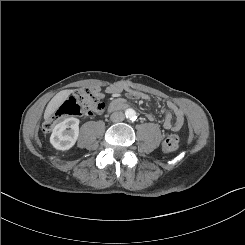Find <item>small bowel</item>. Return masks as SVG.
Listing matches in <instances>:
<instances>
[{
	"label": "small bowel",
	"instance_id": "c3829d8e",
	"mask_svg": "<svg viewBox=\"0 0 245 245\" xmlns=\"http://www.w3.org/2000/svg\"><path fill=\"white\" fill-rule=\"evenodd\" d=\"M122 91H125L127 97L130 99H141V100L149 99V96L146 93L135 91L127 84L112 85L106 88V92L110 95H117ZM123 104H126L124 99L116 98L111 102L110 109L117 110V107ZM167 106H168V111L166 112L165 115V121L163 127L167 131H178L181 129L184 123L185 113L183 109L179 108L173 102H168ZM173 116L175 117L174 120L172 119ZM148 118L153 119V116L151 114H148Z\"/></svg>",
	"mask_w": 245,
	"mask_h": 245
}]
</instances>
